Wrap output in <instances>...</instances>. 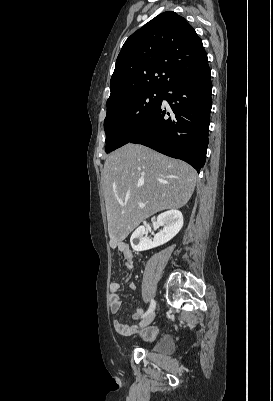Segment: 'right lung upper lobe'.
I'll return each mask as SVG.
<instances>
[{
    "label": "right lung upper lobe",
    "instance_id": "obj_1",
    "mask_svg": "<svg viewBox=\"0 0 273 401\" xmlns=\"http://www.w3.org/2000/svg\"><path fill=\"white\" fill-rule=\"evenodd\" d=\"M206 62L202 41L187 21L172 11L161 13L124 43L107 106L142 91L163 90L181 72Z\"/></svg>",
    "mask_w": 273,
    "mask_h": 401
}]
</instances>
